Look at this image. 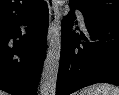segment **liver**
Segmentation results:
<instances>
[{"mask_svg": "<svg viewBox=\"0 0 119 95\" xmlns=\"http://www.w3.org/2000/svg\"><path fill=\"white\" fill-rule=\"evenodd\" d=\"M0 95H7L6 92L0 90Z\"/></svg>", "mask_w": 119, "mask_h": 95, "instance_id": "liver-1", "label": "liver"}]
</instances>
